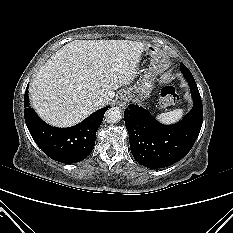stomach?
Instances as JSON below:
<instances>
[{
	"instance_id": "0dacf381",
	"label": "stomach",
	"mask_w": 233,
	"mask_h": 233,
	"mask_svg": "<svg viewBox=\"0 0 233 233\" xmlns=\"http://www.w3.org/2000/svg\"><path fill=\"white\" fill-rule=\"evenodd\" d=\"M145 51L152 58V67L144 75L143 79L134 88H130L127 92L130 94L132 99H145L147 98L153 88V81L155 79V61L158 60V50L152 45H148Z\"/></svg>"
}]
</instances>
